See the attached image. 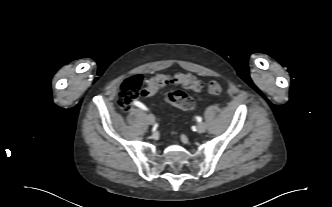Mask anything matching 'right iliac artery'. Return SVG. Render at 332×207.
Segmentation results:
<instances>
[{"instance_id": "82829eb1", "label": "right iliac artery", "mask_w": 332, "mask_h": 207, "mask_svg": "<svg viewBox=\"0 0 332 207\" xmlns=\"http://www.w3.org/2000/svg\"><path fill=\"white\" fill-rule=\"evenodd\" d=\"M134 105L137 106V107H139V108H141V109H143V110H148L146 108V106L144 104H142L141 102H139V101H135Z\"/></svg>"}]
</instances>
